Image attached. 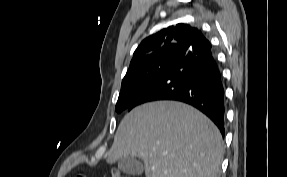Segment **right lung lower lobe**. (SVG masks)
<instances>
[{
  "instance_id": "98d812e1",
  "label": "right lung lower lobe",
  "mask_w": 287,
  "mask_h": 177,
  "mask_svg": "<svg viewBox=\"0 0 287 177\" xmlns=\"http://www.w3.org/2000/svg\"><path fill=\"white\" fill-rule=\"evenodd\" d=\"M156 100L194 106L225 134V96L221 73L210 42L200 33L181 61L157 78L127 108Z\"/></svg>"
}]
</instances>
